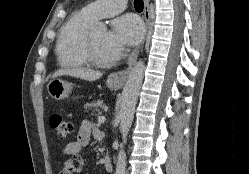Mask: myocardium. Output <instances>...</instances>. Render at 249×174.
I'll use <instances>...</instances> for the list:
<instances>
[{"label": "myocardium", "mask_w": 249, "mask_h": 174, "mask_svg": "<svg viewBox=\"0 0 249 174\" xmlns=\"http://www.w3.org/2000/svg\"><path fill=\"white\" fill-rule=\"evenodd\" d=\"M84 55L87 59V62L97 67H108L111 65L110 62H104L97 58L93 49V41H92V32H88L85 38L84 47H83Z\"/></svg>", "instance_id": "f54148a6"}]
</instances>
